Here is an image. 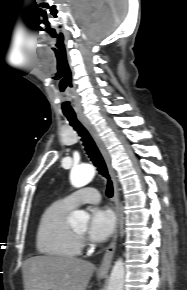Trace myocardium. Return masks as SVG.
<instances>
[{
  "mask_svg": "<svg viewBox=\"0 0 187 290\" xmlns=\"http://www.w3.org/2000/svg\"><path fill=\"white\" fill-rule=\"evenodd\" d=\"M75 237L77 238V240L79 242H81L83 240V235L82 234H78L77 232L73 231Z\"/></svg>",
  "mask_w": 187,
  "mask_h": 290,
  "instance_id": "f54148a6",
  "label": "myocardium"
}]
</instances>
